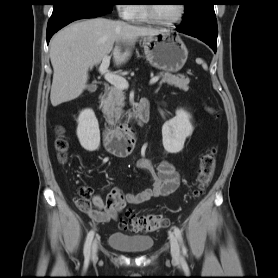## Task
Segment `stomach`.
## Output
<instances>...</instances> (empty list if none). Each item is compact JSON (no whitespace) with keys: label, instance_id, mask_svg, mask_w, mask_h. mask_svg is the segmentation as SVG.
<instances>
[{"label":"stomach","instance_id":"0dacf381","mask_svg":"<svg viewBox=\"0 0 278 278\" xmlns=\"http://www.w3.org/2000/svg\"><path fill=\"white\" fill-rule=\"evenodd\" d=\"M143 47L150 65L166 72H178L188 57V50L180 37L166 31L145 37Z\"/></svg>","mask_w":278,"mask_h":278}]
</instances>
